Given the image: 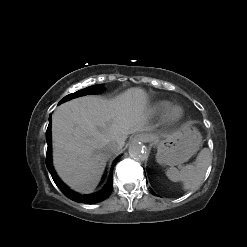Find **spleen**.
<instances>
[{
  "instance_id": "obj_1",
  "label": "spleen",
  "mask_w": 247,
  "mask_h": 247,
  "mask_svg": "<svg viewBox=\"0 0 247 247\" xmlns=\"http://www.w3.org/2000/svg\"><path fill=\"white\" fill-rule=\"evenodd\" d=\"M211 162V153L204 148L199 152L195 165H186L181 170L171 167L166 171V176L173 182L181 181L184 190H192L201 184Z\"/></svg>"
}]
</instances>
